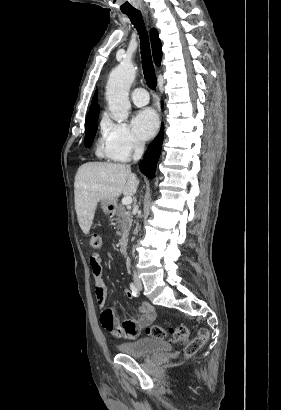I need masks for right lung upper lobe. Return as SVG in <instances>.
Masks as SVG:
<instances>
[{
  "mask_svg": "<svg viewBox=\"0 0 281 410\" xmlns=\"http://www.w3.org/2000/svg\"><path fill=\"white\" fill-rule=\"evenodd\" d=\"M151 43H152L154 61L156 65H159L161 62V57H162V49H161L162 45L158 37V33L156 29L154 28L151 30ZM97 102H98V98H97V92H96L92 99L90 111L88 112L86 119H90V118H93L99 115V104Z\"/></svg>",
  "mask_w": 281,
  "mask_h": 410,
  "instance_id": "cb5924a9",
  "label": "right lung upper lobe"
}]
</instances>
